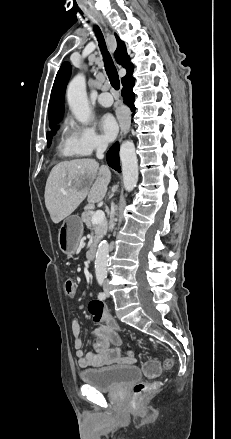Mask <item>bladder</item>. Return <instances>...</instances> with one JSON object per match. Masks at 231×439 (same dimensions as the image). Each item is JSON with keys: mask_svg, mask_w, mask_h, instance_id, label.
<instances>
[{"mask_svg": "<svg viewBox=\"0 0 231 439\" xmlns=\"http://www.w3.org/2000/svg\"><path fill=\"white\" fill-rule=\"evenodd\" d=\"M79 377L84 384L100 391H114L138 380L140 370L135 366H110L83 370Z\"/></svg>", "mask_w": 231, "mask_h": 439, "instance_id": "bladder-1", "label": "bladder"}]
</instances>
